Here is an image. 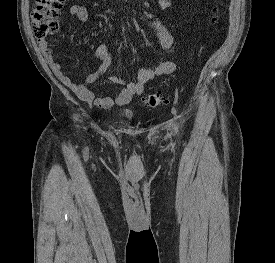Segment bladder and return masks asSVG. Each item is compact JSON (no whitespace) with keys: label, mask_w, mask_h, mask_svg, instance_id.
Here are the masks:
<instances>
[{"label":"bladder","mask_w":275,"mask_h":263,"mask_svg":"<svg viewBox=\"0 0 275 263\" xmlns=\"http://www.w3.org/2000/svg\"><path fill=\"white\" fill-rule=\"evenodd\" d=\"M123 115H124V117H126V118H132L133 115H134V113H133L132 110L128 109V110H125V111L123 112Z\"/></svg>","instance_id":"31cf9c89"}]
</instances>
